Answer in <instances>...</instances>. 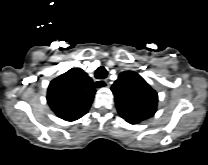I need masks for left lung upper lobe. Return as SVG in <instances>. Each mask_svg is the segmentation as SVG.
<instances>
[{
	"instance_id": "left-lung-upper-lobe-1",
	"label": "left lung upper lobe",
	"mask_w": 208,
	"mask_h": 165,
	"mask_svg": "<svg viewBox=\"0 0 208 165\" xmlns=\"http://www.w3.org/2000/svg\"><path fill=\"white\" fill-rule=\"evenodd\" d=\"M119 115L130 124L152 117L157 110L158 95L136 72H122L111 87Z\"/></svg>"
}]
</instances>
